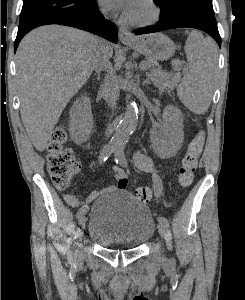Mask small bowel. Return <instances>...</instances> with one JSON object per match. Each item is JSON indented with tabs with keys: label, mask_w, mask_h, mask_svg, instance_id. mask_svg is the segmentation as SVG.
I'll list each match as a JSON object with an SVG mask.
<instances>
[{
	"label": "small bowel",
	"mask_w": 245,
	"mask_h": 300,
	"mask_svg": "<svg viewBox=\"0 0 245 300\" xmlns=\"http://www.w3.org/2000/svg\"><path fill=\"white\" fill-rule=\"evenodd\" d=\"M135 165L143 172L150 173L152 175H157L159 170L154 166L153 161L148 156L144 155L140 151L135 152L133 156ZM115 172V179L117 181L116 188L125 189L128 185V176L127 173L118 167L113 168ZM104 190H94L86 198L88 202H92L98 198ZM66 202L72 207L80 206V201L77 198L75 193H68L65 195Z\"/></svg>",
	"instance_id": "obj_1"
}]
</instances>
